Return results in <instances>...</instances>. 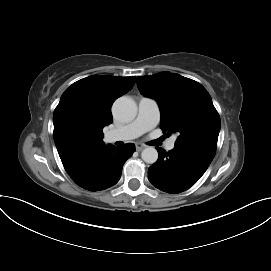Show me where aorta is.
Instances as JSON below:
<instances>
[{
    "label": "aorta",
    "instance_id": "1",
    "mask_svg": "<svg viewBox=\"0 0 271 271\" xmlns=\"http://www.w3.org/2000/svg\"><path fill=\"white\" fill-rule=\"evenodd\" d=\"M114 115L121 121H131L137 115V105L133 99L129 97H120L118 98L113 105ZM141 157L144 162L148 164H153L158 159V152L154 147L145 148Z\"/></svg>",
    "mask_w": 271,
    "mask_h": 271
}]
</instances>
